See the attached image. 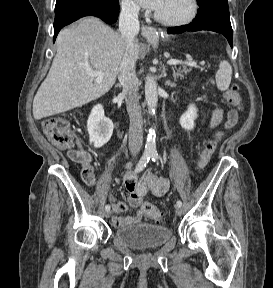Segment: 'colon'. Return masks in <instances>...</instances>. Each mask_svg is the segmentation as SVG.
Instances as JSON below:
<instances>
[{"label":"colon","mask_w":273,"mask_h":288,"mask_svg":"<svg viewBox=\"0 0 273 288\" xmlns=\"http://www.w3.org/2000/svg\"><path fill=\"white\" fill-rule=\"evenodd\" d=\"M223 96L229 104L241 107V96L237 87L233 86L227 89ZM42 128L48 140L60 149H69L75 143L76 136L71 130L68 121L62 117L45 119L42 123ZM221 137L222 134L218 133L213 139L205 141L198 162L200 168H204L208 164L218 147ZM142 211L148 218L157 223L163 220V216L158 208L150 203H144L142 205Z\"/></svg>","instance_id":"obj_1"}]
</instances>
